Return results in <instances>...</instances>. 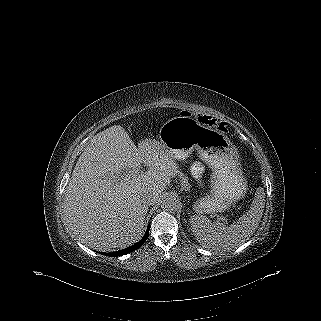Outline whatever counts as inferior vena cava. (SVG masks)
<instances>
[{
    "mask_svg": "<svg viewBox=\"0 0 321 321\" xmlns=\"http://www.w3.org/2000/svg\"><path fill=\"white\" fill-rule=\"evenodd\" d=\"M141 200L145 206H150L155 202V197L152 194L146 193L143 195Z\"/></svg>",
    "mask_w": 321,
    "mask_h": 321,
    "instance_id": "1",
    "label": "inferior vena cava"
}]
</instances>
